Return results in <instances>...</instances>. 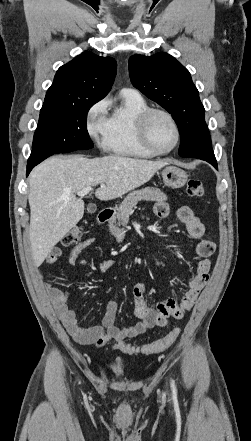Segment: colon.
Listing matches in <instances>:
<instances>
[{"label":"colon","instance_id":"obj_1","mask_svg":"<svg viewBox=\"0 0 251 441\" xmlns=\"http://www.w3.org/2000/svg\"><path fill=\"white\" fill-rule=\"evenodd\" d=\"M187 193L191 197H203L204 187L201 180L191 178L187 182ZM84 235V229L81 226H76L68 231L61 239L62 246H71L81 240ZM180 334V328L175 327L167 335L154 341L150 344L143 346H134L124 342H119L115 345V348L128 353V354H144L150 355L161 352L166 348L174 344Z\"/></svg>","mask_w":251,"mask_h":441}]
</instances>
